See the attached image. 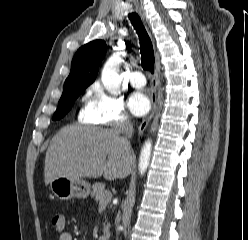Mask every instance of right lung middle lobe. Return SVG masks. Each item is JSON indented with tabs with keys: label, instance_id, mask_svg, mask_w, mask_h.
I'll return each instance as SVG.
<instances>
[{
	"label": "right lung middle lobe",
	"instance_id": "1",
	"mask_svg": "<svg viewBox=\"0 0 248 240\" xmlns=\"http://www.w3.org/2000/svg\"><path fill=\"white\" fill-rule=\"evenodd\" d=\"M86 87L76 83L65 85L63 94L59 100L58 108L53 115V120H59L68 113L74 104L76 98L84 91Z\"/></svg>",
	"mask_w": 248,
	"mask_h": 240
}]
</instances>
